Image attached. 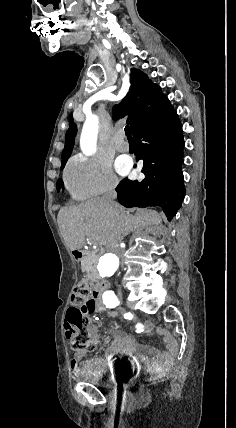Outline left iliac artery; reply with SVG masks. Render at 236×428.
Masks as SVG:
<instances>
[{"label":"left iliac artery","mask_w":236,"mask_h":428,"mask_svg":"<svg viewBox=\"0 0 236 428\" xmlns=\"http://www.w3.org/2000/svg\"><path fill=\"white\" fill-rule=\"evenodd\" d=\"M102 298L103 303L106 305V308H115L119 305V300L113 291L104 292Z\"/></svg>","instance_id":"44dca946"}]
</instances>
